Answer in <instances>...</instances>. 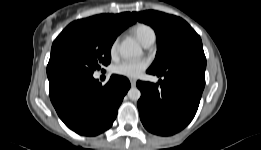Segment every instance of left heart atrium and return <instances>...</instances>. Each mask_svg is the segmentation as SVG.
<instances>
[{"label":"left heart atrium","mask_w":261,"mask_h":150,"mask_svg":"<svg viewBox=\"0 0 261 150\" xmlns=\"http://www.w3.org/2000/svg\"><path fill=\"white\" fill-rule=\"evenodd\" d=\"M147 60H124L114 67L115 73L129 78H137L148 67Z\"/></svg>","instance_id":"obj_1"}]
</instances>
